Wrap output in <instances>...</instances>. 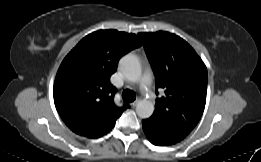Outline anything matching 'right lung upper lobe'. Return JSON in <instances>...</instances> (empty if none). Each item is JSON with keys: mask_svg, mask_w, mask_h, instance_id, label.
<instances>
[{"mask_svg": "<svg viewBox=\"0 0 261 162\" xmlns=\"http://www.w3.org/2000/svg\"><path fill=\"white\" fill-rule=\"evenodd\" d=\"M135 34L99 30L84 37L62 61L54 83V102L76 134L98 138L109 132L129 106L117 107L110 76L119 59L141 46Z\"/></svg>", "mask_w": 261, "mask_h": 162, "instance_id": "cb5924a9", "label": "right lung upper lobe"}]
</instances>
